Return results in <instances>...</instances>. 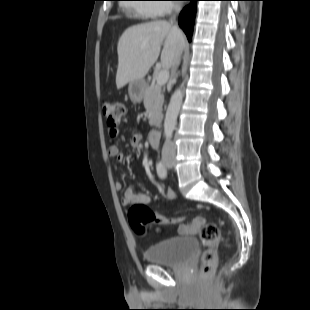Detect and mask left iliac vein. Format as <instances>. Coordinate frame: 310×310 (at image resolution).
<instances>
[{
    "instance_id": "obj_1",
    "label": "left iliac vein",
    "mask_w": 310,
    "mask_h": 310,
    "mask_svg": "<svg viewBox=\"0 0 310 310\" xmlns=\"http://www.w3.org/2000/svg\"><path fill=\"white\" fill-rule=\"evenodd\" d=\"M167 166H168V168H173V162H172V160L169 162V163H167Z\"/></svg>"
}]
</instances>
